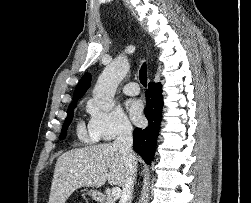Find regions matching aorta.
I'll use <instances>...</instances> for the list:
<instances>
[{
  "label": "aorta",
  "mask_w": 251,
  "mask_h": 203,
  "mask_svg": "<svg viewBox=\"0 0 251 203\" xmlns=\"http://www.w3.org/2000/svg\"><path fill=\"white\" fill-rule=\"evenodd\" d=\"M130 68L128 61L117 58L105 67L95 85L93 94L96 105L103 111L114 107L116 89Z\"/></svg>",
  "instance_id": "aorta-1"
}]
</instances>
